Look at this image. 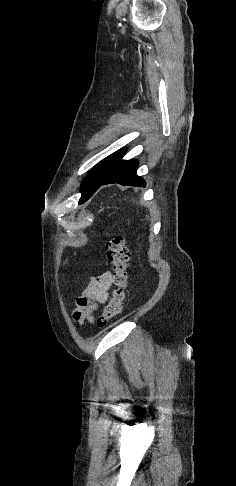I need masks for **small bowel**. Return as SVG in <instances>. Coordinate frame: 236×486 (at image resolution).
Returning <instances> with one entry per match:
<instances>
[{"label":"small bowel","instance_id":"small-bowel-1","mask_svg":"<svg viewBox=\"0 0 236 486\" xmlns=\"http://www.w3.org/2000/svg\"><path fill=\"white\" fill-rule=\"evenodd\" d=\"M112 286V274L109 271L93 278L83 294L77 299L76 309L73 312L74 320L83 324L93 320L92 313L99 304L105 303L109 298Z\"/></svg>","mask_w":236,"mask_h":486}]
</instances>
